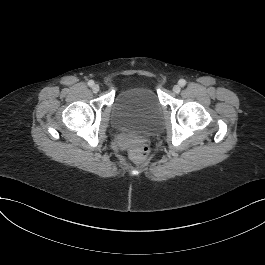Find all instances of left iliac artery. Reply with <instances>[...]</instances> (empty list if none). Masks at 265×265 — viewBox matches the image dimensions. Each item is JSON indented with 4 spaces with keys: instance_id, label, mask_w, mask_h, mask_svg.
<instances>
[{
    "instance_id": "44dca946",
    "label": "left iliac artery",
    "mask_w": 265,
    "mask_h": 265,
    "mask_svg": "<svg viewBox=\"0 0 265 265\" xmlns=\"http://www.w3.org/2000/svg\"><path fill=\"white\" fill-rule=\"evenodd\" d=\"M178 83L181 87L186 85V81L184 79H180Z\"/></svg>"
}]
</instances>
